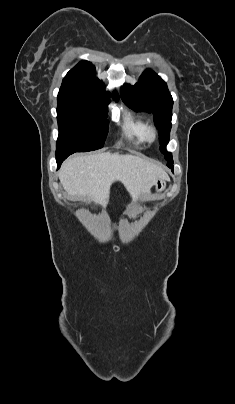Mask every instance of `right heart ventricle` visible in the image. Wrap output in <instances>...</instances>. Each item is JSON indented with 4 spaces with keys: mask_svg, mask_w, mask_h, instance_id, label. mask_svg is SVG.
<instances>
[{
    "mask_svg": "<svg viewBox=\"0 0 235 404\" xmlns=\"http://www.w3.org/2000/svg\"><path fill=\"white\" fill-rule=\"evenodd\" d=\"M147 127L148 125L146 121L133 111H129L123 116L121 124L122 133L136 145H142L145 143V132Z\"/></svg>",
    "mask_w": 235,
    "mask_h": 404,
    "instance_id": "e07e8e85",
    "label": "right heart ventricle"
}]
</instances>
